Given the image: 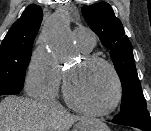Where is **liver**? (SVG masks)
I'll use <instances>...</instances> for the list:
<instances>
[{"mask_svg":"<svg viewBox=\"0 0 151 131\" xmlns=\"http://www.w3.org/2000/svg\"><path fill=\"white\" fill-rule=\"evenodd\" d=\"M87 120L29 98L8 96L0 102V131H69Z\"/></svg>","mask_w":151,"mask_h":131,"instance_id":"1","label":"liver"}]
</instances>
